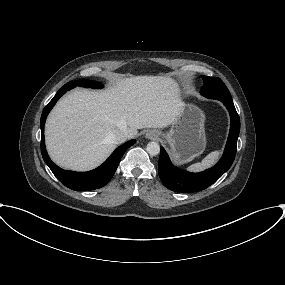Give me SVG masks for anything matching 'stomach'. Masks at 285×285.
<instances>
[{"label": "stomach", "instance_id": "obj_1", "mask_svg": "<svg viewBox=\"0 0 285 285\" xmlns=\"http://www.w3.org/2000/svg\"><path fill=\"white\" fill-rule=\"evenodd\" d=\"M204 122L201 109L193 104H181L169 132L164 134L176 163H188L203 153L206 147Z\"/></svg>", "mask_w": 285, "mask_h": 285}]
</instances>
